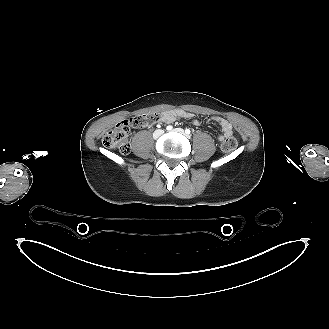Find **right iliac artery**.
Here are the masks:
<instances>
[{"instance_id":"1","label":"right iliac artery","mask_w":329,"mask_h":329,"mask_svg":"<svg viewBox=\"0 0 329 329\" xmlns=\"http://www.w3.org/2000/svg\"><path fill=\"white\" fill-rule=\"evenodd\" d=\"M167 130H172L173 129V127L171 126V125H169V126H167V128H166Z\"/></svg>"}]
</instances>
